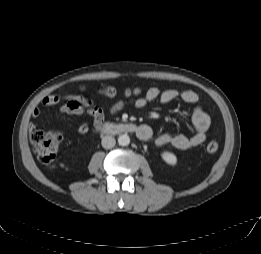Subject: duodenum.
<instances>
[{"label":"duodenum","instance_id":"410a0bca","mask_svg":"<svg viewBox=\"0 0 261 254\" xmlns=\"http://www.w3.org/2000/svg\"><path fill=\"white\" fill-rule=\"evenodd\" d=\"M98 130L104 134H123L138 132L139 128L133 123H107Z\"/></svg>","mask_w":261,"mask_h":254}]
</instances>
